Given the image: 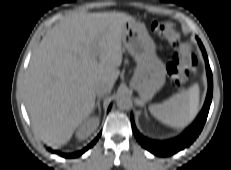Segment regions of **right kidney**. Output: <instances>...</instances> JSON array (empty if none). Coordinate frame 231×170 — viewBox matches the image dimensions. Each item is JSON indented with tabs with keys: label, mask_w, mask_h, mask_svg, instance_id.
I'll return each instance as SVG.
<instances>
[{
	"label": "right kidney",
	"mask_w": 231,
	"mask_h": 170,
	"mask_svg": "<svg viewBox=\"0 0 231 170\" xmlns=\"http://www.w3.org/2000/svg\"><path fill=\"white\" fill-rule=\"evenodd\" d=\"M98 120L91 118L85 120L77 129L76 136L78 139H85L90 135L91 132L97 127Z\"/></svg>",
	"instance_id": "obj_1"
}]
</instances>
